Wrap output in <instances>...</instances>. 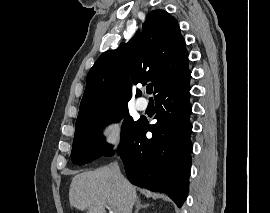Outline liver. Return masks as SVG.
<instances>
[{
	"label": "liver",
	"instance_id": "obj_1",
	"mask_svg": "<svg viewBox=\"0 0 270 213\" xmlns=\"http://www.w3.org/2000/svg\"><path fill=\"white\" fill-rule=\"evenodd\" d=\"M137 200L136 188L124 177L115 178L106 166L77 174L70 184V206L78 211L105 213L108 205L115 213H131Z\"/></svg>",
	"mask_w": 270,
	"mask_h": 213
}]
</instances>
